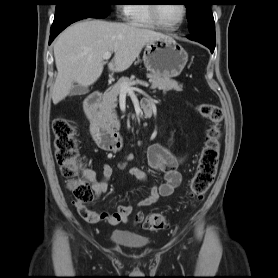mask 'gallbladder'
<instances>
[{"label": "gallbladder", "mask_w": 278, "mask_h": 278, "mask_svg": "<svg viewBox=\"0 0 278 278\" xmlns=\"http://www.w3.org/2000/svg\"><path fill=\"white\" fill-rule=\"evenodd\" d=\"M89 92V89L87 87H83L81 85H75L70 90L69 95L70 96H79V95H85Z\"/></svg>", "instance_id": "1"}]
</instances>
